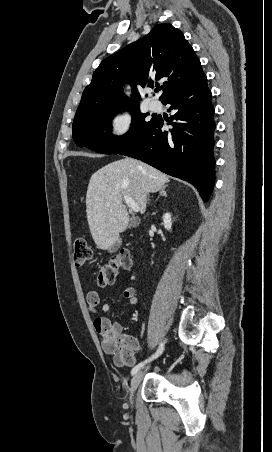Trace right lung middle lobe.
Masks as SVG:
<instances>
[{
    "label": "right lung middle lobe",
    "mask_w": 272,
    "mask_h": 452,
    "mask_svg": "<svg viewBox=\"0 0 272 452\" xmlns=\"http://www.w3.org/2000/svg\"><path fill=\"white\" fill-rule=\"evenodd\" d=\"M128 110L132 115L129 131L122 136L111 133V118L119 111ZM139 110V104L124 108L97 109L77 116L73 122V139L80 147H88L102 154H119L141 138L155 118L147 120Z\"/></svg>",
    "instance_id": "dd1d6c3e"
}]
</instances>
